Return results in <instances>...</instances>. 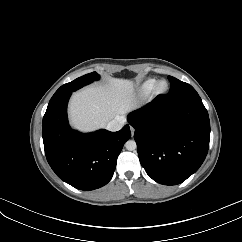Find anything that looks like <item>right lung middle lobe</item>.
Wrapping results in <instances>:
<instances>
[{"label": "right lung middle lobe", "instance_id": "1", "mask_svg": "<svg viewBox=\"0 0 242 242\" xmlns=\"http://www.w3.org/2000/svg\"><path fill=\"white\" fill-rule=\"evenodd\" d=\"M99 79V75L96 72H92L89 74H86L84 76H81L77 79H75L72 82L66 83L63 86H61L53 95L52 98L57 97L59 95H62L64 93L67 92H73L76 91L78 89H80L81 87L90 84L91 82L98 80Z\"/></svg>", "mask_w": 242, "mask_h": 242}]
</instances>
